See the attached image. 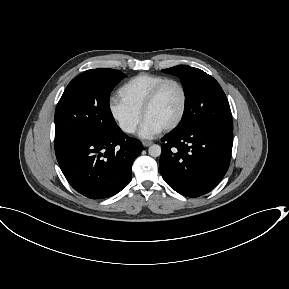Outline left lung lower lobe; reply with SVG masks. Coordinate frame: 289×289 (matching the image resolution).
<instances>
[{
  "label": "left lung lower lobe",
  "instance_id": "obj_1",
  "mask_svg": "<svg viewBox=\"0 0 289 289\" xmlns=\"http://www.w3.org/2000/svg\"><path fill=\"white\" fill-rule=\"evenodd\" d=\"M160 171L176 192L199 197L210 192L228 170L233 132L205 125L174 129L162 138Z\"/></svg>",
  "mask_w": 289,
  "mask_h": 289
}]
</instances>
